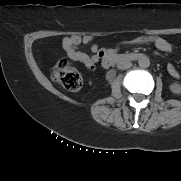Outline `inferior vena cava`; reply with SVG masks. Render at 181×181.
I'll return each mask as SVG.
<instances>
[{"mask_svg": "<svg viewBox=\"0 0 181 181\" xmlns=\"http://www.w3.org/2000/svg\"><path fill=\"white\" fill-rule=\"evenodd\" d=\"M132 66V63L130 61H124L122 64L118 66L119 69H127Z\"/></svg>", "mask_w": 181, "mask_h": 181, "instance_id": "602c4592", "label": "inferior vena cava"}]
</instances>
